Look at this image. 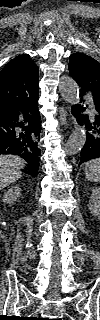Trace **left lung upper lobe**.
I'll return each instance as SVG.
<instances>
[{
  "label": "left lung upper lobe",
  "instance_id": "obj_1",
  "mask_svg": "<svg viewBox=\"0 0 100 320\" xmlns=\"http://www.w3.org/2000/svg\"><path fill=\"white\" fill-rule=\"evenodd\" d=\"M69 72L80 88L100 99V64L92 57L75 53L70 56Z\"/></svg>",
  "mask_w": 100,
  "mask_h": 320
}]
</instances>
